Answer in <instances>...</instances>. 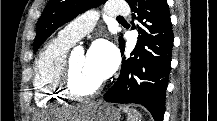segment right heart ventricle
Returning <instances> with one entry per match:
<instances>
[{"label":"right heart ventricle","mask_w":217,"mask_h":121,"mask_svg":"<svg viewBox=\"0 0 217 121\" xmlns=\"http://www.w3.org/2000/svg\"><path fill=\"white\" fill-rule=\"evenodd\" d=\"M72 43L57 36L41 49L34 67L36 103L51 106L64 99L60 92L59 77Z\"/></svg>","instance_id":"right-heart-ventricle-1"}]
</instances>
